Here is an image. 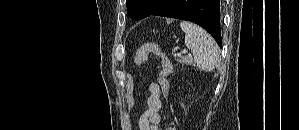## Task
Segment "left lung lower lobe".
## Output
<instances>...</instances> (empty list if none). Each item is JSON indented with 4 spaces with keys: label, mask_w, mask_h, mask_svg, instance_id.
<instances>
[{
    "label": "left lung lower lobe",
    "mask_w": 299,
    "mask_h": 130,
    "mask_svg": "<svg viewBox=\"0 0 299 130\" xmlns=\"http://www.w3.org/2000/svg\"><path fill=\"white\" fill-rule=\"evenodd\" d=\"M150 15L194 22L207 30L222 47L220 0H150V6L141 19Z\"/></svg>",
    "instance_id": "1"
}]
</instances>
